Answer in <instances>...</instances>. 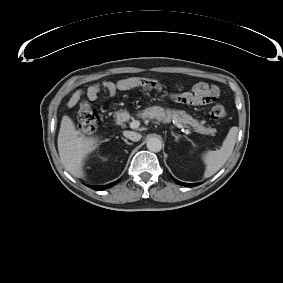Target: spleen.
I'll list each match as a JSON object with an SVG mask.
<instances>
[{
  "label": "spleen",
  "instance_id": "1",
  "mask_svg": "<svg viewBox=\"0 0 283 283\" xmlns=\"http://www.w3.org/2000/svg\"><path fill=\"white\" fill-rule=\"evenodd\" d=\"M238 128L232 127L226 136L222 147L216 151H208L204 155L206 165L205 176L210 177L215 174L228 160L233 152L237 139Z\"/></svg>",
  "mask_w": 283,
  "mask_h": 283
}]
</instances>
